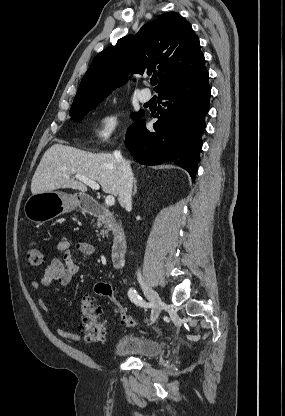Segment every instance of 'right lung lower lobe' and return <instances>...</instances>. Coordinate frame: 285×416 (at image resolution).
Instances as JSON below:
<instances>
[{
	"label": "right lung lower lobe",
	"mask_w": 285,
	"mask_h": 416,
	"mask_svg": "<svg viewBox=\"0 0 285 416\" xmlns=\"http://www.w3.org/2000/svg\"><path fill=\"white\" fill-rule=\"evenodd\" d=\"M208 72L180 83L158 95L163 107L154 117L153 130L144 120L136 121L126 134V143L133 157L141 164L159 165L172 161L195 178L205 116L209 110Z\"/></svg>",
	"instance_id": "right-lung-lower-lobe-1"
}]
</instances>
